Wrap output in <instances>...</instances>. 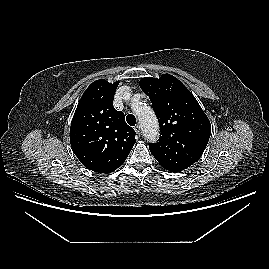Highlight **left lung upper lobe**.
Returning a JSON list of instances; mask_svg holds the SVG:
<instances>
[{"label": "left lung upper lobe", "instance_id": "left-lung-upper-lobe-1", "mask_svg": "<svg viewBox=\"0 0 269 269\" xmlns=\"http://www.w3.org/2000/svg\"><path fill=\"white\" fill-rule=\"evenodd\" d=\"M149 96L160 123V137L150 151L167 170L182 171L202 156L211 124L192 93L174 76L139 81Z\"/></svg>", "mask_w": 269, "mask_h": 269}]
</instances>
